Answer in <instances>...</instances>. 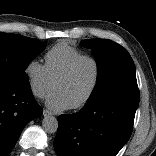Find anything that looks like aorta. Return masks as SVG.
Listing matches in <instances>:
<instances>
[{
	"label": "aorta",
	"instance_id": "obj_1",
	"mask_svg": "<svg viewBox=\"0 0 156 156\" xmlns=\"http://www.w3.org/2000/svg\"><path fill=\"white\" fill-rule=\"evenodd\" d=\"M42 127L47 133H55L58 129V120L54 116H45Z\"/></svg>",
	"mask_w": 156,
	"mask_h": 156
}]
</instances>
